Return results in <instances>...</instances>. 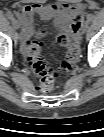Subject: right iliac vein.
<instances>
[{
    "mask_svg": "<svg viewBox=\"0 0 104 137\" xmlns=\"http://www.w3.org/2000/svg\"><path fill=\"white\" fill-rule=\"evenodd\" d=\"M12 24H13L15 29H19L20 28V24H19L17 19L13 18L12 19Z\"/></svg>",
    "mask_w": 104,
    "mask_h": 137,
    "instance_id": "63e3f726",
    "label": "right iliac vein"
}]
</instances>
